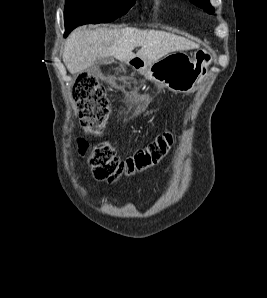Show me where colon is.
I'll return each mask as SVG.
<instances>
[{"label":"colon","instance_id":"1","mask_svg":"<svg viewBox=\"0 0 267 298\" xmlns=\"http://www.w3.org/2000/svg\"><path fill=\"white\" fill-rule=\"evenodd\" d=\"M72 97L85 127L91 130L99 127L109 108L104 89L96 77L89 73L80 74L73 85ZM172 143V132L165 131L126 159L116 158L107 143H100L91 150L87 141L79 139L78 147L82 154H88L96 179L115 183L123 176H131L158 164L167 155Z\"/></svg>","mask_w":267,"mask_h":298}]
</instances>
